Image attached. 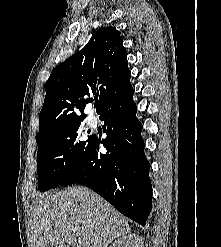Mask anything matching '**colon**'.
Here are the masks:
<instances>
[{
	"label": "colon",
	"mask_w": 221,
	"mask_h": 247,
	"mask_svg": "<svg viewBox=\"0 0 221 247\" xmlns=\"http://www.w3.org/2000/svg\"><path fill=\"white\" fill-rule=\"evenodd\" d=\"M53 247H66V246H53Z\"/></svg>",
	"instance_id": "5ec220e1"
}]
</instances>
